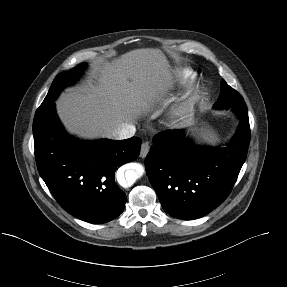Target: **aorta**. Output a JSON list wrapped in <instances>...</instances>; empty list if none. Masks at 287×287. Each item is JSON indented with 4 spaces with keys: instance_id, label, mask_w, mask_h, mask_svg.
<instances>
[{
    "instance_id": "obj_1",
    "label": "aorta",
    "mask_w": 287,
    "mask_h": 287,
    "mask_svg": "<svg viewBox=\"0 0 287 287\" xmlns=\"http://www.w3.org/2000/svg\"><path fill=\"white\" fill-rule=\"evenodd\" d=\"M138 176L131 171H126V179L123 180L125 186L132 185Z\"/></svg>"
}]
</instances>
